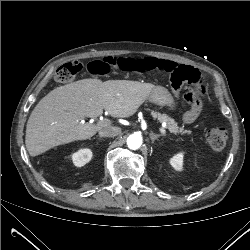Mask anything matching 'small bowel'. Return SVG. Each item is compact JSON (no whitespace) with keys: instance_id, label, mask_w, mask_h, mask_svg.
I'll return each mask as SVG.
<instances>
[{"instance_id":"c3829d8e","label":"small bowel","mask_w":250,"mask_h":250,"mask_svg":"<svg viewBox=\"0 0 250 250\" xmlns=\"http://www.w3.org/2000/svg\"><path fill=\"white\" fill-rule=\"evenodd\" d=\"M147 64H152L154 69L153 70H162L166 72H173L174 70L177 69L179 66L177 63L170 61V60H164V59H159L155 57H146V58H141L139 59V71H147L143 70ZM151 71V70H149ZM199 108L194 107L188 112L185 113L184 115V121L187 123H191L195 120L197 117V114L199 113Z\"/></svg>"}]
</instances>
